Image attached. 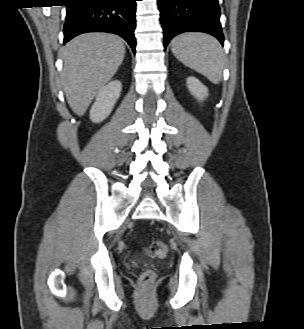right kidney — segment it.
Segmentation results:
<instances>
[{
	"label": "right kidney",
	"instance_id": "1",
	"mask_svg": "<svg viewBox=\"0 0 304 329\" xmlns=\"http://www.w3.org/2000/svg\"><path fill=\"white\" fill-rule=\"evenodd\" d=\"M121 82L112 81L104 86L96 96L90 109V119L95 123L103 121L112 111L121 93Z\"/></svg>",
	"mask_w": 304,
	"mask_h": 329
}]
</instances>
